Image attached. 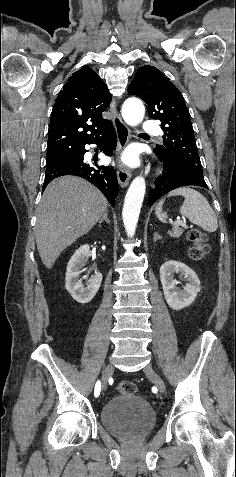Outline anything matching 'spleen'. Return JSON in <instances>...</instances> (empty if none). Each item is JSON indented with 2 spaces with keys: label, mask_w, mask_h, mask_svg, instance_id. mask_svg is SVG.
Masks as SVG:
<instances>
[{
  "label": "spleen",
  "mask_w": 236,
  "mask_h": 477,
  "mask_svg": "<svg viewBox=\"0 0 236 477\" xmlns=\"http://www.w3.org/2000/svg\"><path fill=\"white\" fill-rule=\"evenodd\" d=\"M184 196L185 200L180 207V214L186 216L192 223L197 224L207 232H215L218 228L216 214L206 198L198 191L182 187L171 191L168 196ZM164 199L156 206L155 213L158 219L166 223L167 214L162 212Z\"/></svg>",
  "instance_id": "3e777b00"
}]
</instances>
